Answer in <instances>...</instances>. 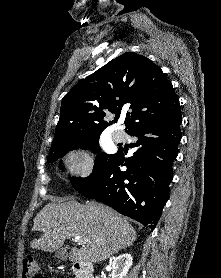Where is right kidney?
<instances>
[{
    "label": "right kidney",
    "mask_w": 221,
    "mask_h": 278,
    "mask_svg": "<svg viewBox=\"0 0 221 278\" xmlns=\"http://www.w3.org/2000/svg\"><path fill=\"white\" fill-rule=\"evenodd\" d=\"M132 264L133 258L128 253L116 257L112 262V278H124Z\"/></svg>",
    "instance_id": "obj_1"
}]
</instances>
